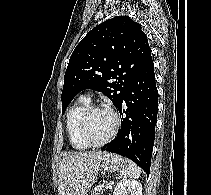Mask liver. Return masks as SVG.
<instances>
[{
  "instance_id": "6515ba94",
  "label": "liver",
  "mask_w": 211,
  "mask_h": 195,
  "mask_svg": "<svg viewBox=\"0 0 211 195\" xmlns=\"http://www.w3.org/2000/svg\"><path fill=\"white\" fill-rule=\"evenodd\" d=\"M105 152H75L63 157L58 167L59 195H84L94 182L88 179Z\"/></svg>"
}]
</instances>
